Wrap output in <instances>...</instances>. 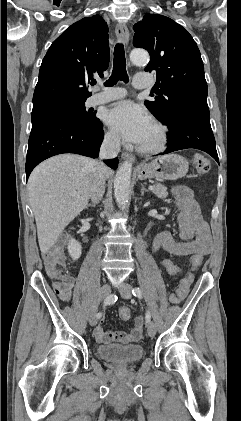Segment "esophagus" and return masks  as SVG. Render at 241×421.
Here are the masks:
<instances>
[{"mask_svg":"<svg viewBox=\"0 0 241 421\" xmlns=\"http://www.w3.org/2000/svg\"><path fill=\"white\" fill-rule=\"evenodd\" d=\"M115 32H116V36H117L118 40L120 42H122L127 47L128 43H129V30H128L127 26L123 23H118L116 25ZM121 157L124 160H129L131 162L135 161L134 156L130 153H127V152H123L121 154Z\"/></svg>","mask_w":241,"mask_h":421,"instance_id":"esophagus-1","label":"esophagus"}]
</instances>
